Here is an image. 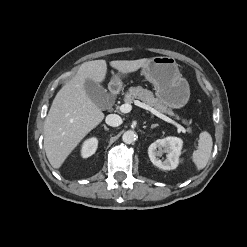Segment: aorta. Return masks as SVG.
Here are the masks:
<instances>
[{"label": "aorta", "instance_id": "aorta-1", "mask_svg": "<svg viewBox=\"0 0 247 247\" xmlns=\"http://www.w3.org/2000/svg\"><path fill=\"white\" fill-rule=\"evenodd\" d=\"M137 139L136 132L133 130H128L124 132L122 140L124 143L131 144Z\"/></svg>", "mask_w": 247, "mask_h": 247}]
</instances>
